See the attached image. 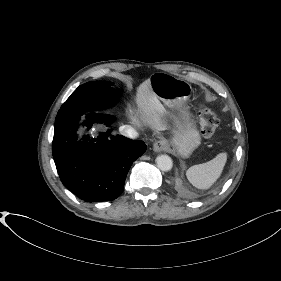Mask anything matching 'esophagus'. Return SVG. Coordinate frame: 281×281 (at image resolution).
<instances>
[{
    "instance_id": "obj_1",
    "label": "esophagus",
    "mask_w": 281,
    "mask_h": 281,
    "mask_svg": "<svg viewBox=\"0 0 281 281\" xmlns=\"http://www.w3.org/2000/svg\"><path fill=\"white\" fill-rule=\"evenodd\" d=\"M166 148H167V142L165 140H158L155 141L153 144V150L157 153L166 150Z\"/></svg>"
}]
</instances>
